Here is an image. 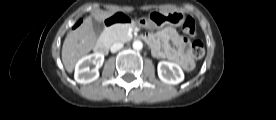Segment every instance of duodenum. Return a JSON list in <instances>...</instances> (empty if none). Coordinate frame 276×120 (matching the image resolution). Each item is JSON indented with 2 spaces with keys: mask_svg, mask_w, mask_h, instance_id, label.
Wrapping results in <instances>:
<instances>
[{
  "mask_svg": "<svg viewBox=\"0 0 276 120\" xmlns=\"http://www.w3.org/2000/svg\"><path fill=\"white\" fill-rule=\"evenodd\" d=\"M134 17L126 14H116L110 18H106L102 20V27L103 28H113L117 25L119 26H126V27H133L134 26ZM142 39L146 40V37L142 35ZM96 52L99 54H106L108 52V45L105 42H99L96 45Z\"/></svg>",
  "mask_w": 276,
  "mask_h": 120,
  "instance_id": "duodenum-1",
  "label": "duodenum"
}]
</instances>
